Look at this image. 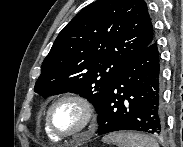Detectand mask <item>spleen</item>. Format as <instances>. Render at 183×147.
<instances>
[{
    "mask_svg": "<svg viewBox=\"0 0 183 147\" xmlns=\"http://www.w3.org/2000/svg\"><path fill=\"white\" fill-rule=\"evenodd\" d=\"M106 143L116 144L118 147H159L152 137L135 132H115L103 138Z\"/></svg>",
    "mask_w": 183,
    "mask_h": 147,
    "instance_id": "1",
    "label": "spleen"
}]
</instances>
